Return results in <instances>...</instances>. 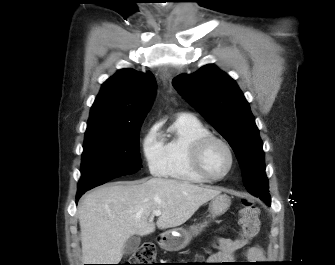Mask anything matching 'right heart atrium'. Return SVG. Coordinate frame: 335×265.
<instances>
[{
    "label": "right heart atrium",
    "mask_w": 335,
    "mask_h": 265,
    "mask_svg": "<svg viewBox=\"0 0 335 265\" xmlns=\"http://www.w3.org/2000/svg\"><path fill=\"white\" fill-rule=\"evenodd\" d=\"M142 151L150 172L163 175L165 168L163 141L159 126L153 125L145 134L142 141Z\"/></svg>",
    "instance_id": "obj_1"
}]
</instances>
